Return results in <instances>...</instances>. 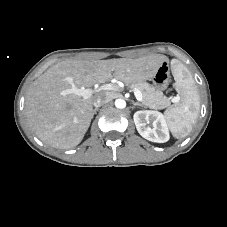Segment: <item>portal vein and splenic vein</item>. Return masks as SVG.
I'll return each instance as SVG.
<instances>
[{"mask_svg": "<svg viewBox=\"0 0 227 227\" xmlns=\"http://www.w3.org/2000/svg\"><path fill=\"white\" fill-rule=\"evenodd\" d=\"M71 86L72 88L71 89H68L65 91V94H77L79 96H82L84 99H88L89 97H91L93 95V93L95 92V90H92V89H86L84 87H81V88H77L74 83L71 81ZM100 90H117V86L114 85V84H105L103 85ZM133 92H134V95L136 97V99L141 102L143 97H142V93L140 92V90H138L137 88H134L133 87Z\"/></svg>", "mask_w": 227, "mask_h": 227, "instance_id": "portal-vein-and-splenic-vein-1", "label": "portal vein and splenic vein"}]
</instances>
